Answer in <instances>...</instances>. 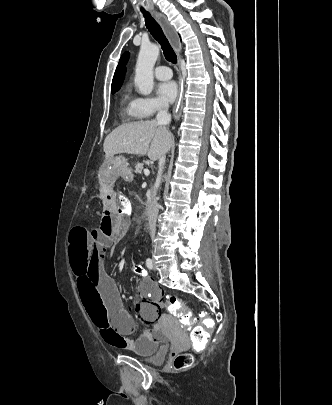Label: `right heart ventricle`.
<instances>
[{
  "instance_id": "e07e8e85",
  "label": "right heart ventricle",
  "mask_w": 332,
  "mask_h": 405,
  "mask_svg": "<svg viewBox=\"0 0 332 405\" xmlns=\"http://www.w3.org/2000/svg\"><path fill=\"white\" fill-rule=\"evenodd\" d=\"M121 113L126 121H138L143 118L138 109V99L134 97L127 87L120 99Z\"/></svg>"
}]
</instances>
